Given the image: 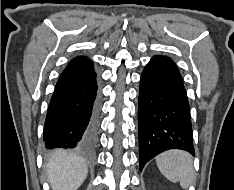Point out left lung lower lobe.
Listing matches in <instances>:
<instances>
[{
  "mask_svg": "<svg viewBox=\"0 0 234 190\" xmlns=\"http://www.w3.org/2000/svg\"><path fill=\"white\" fill-rule=\"evenodd\" d=\"M138 133L140 170L168 149L195 155L186 90L176 64L167 56L152 57L142 72Z\"/></svg>",
  "mask_w": 234,
  "mask_h": 190,
  "instance_id": "left-lung-lower-lobe-1",
  "label": "left lung lower lobe"
}]
</instances>
